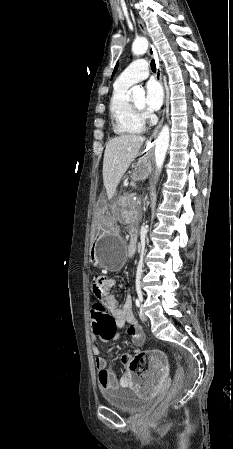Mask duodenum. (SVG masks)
Returning <instances> with one entry per match:
<instances>
[{"mask_svg":"<svg viewBox=\"0 0 233 449\" xmlns=\"http://www.w3.org/2000/svg\"><path fill=\"white\" fill-rule=\"evenodd\" d=\"M135 244H136V233L134 232L132 234V237H131V240H130V244H129V251H130V253L134 252Z\"/></svg>","mask_w":233,"mask_h":449,"instance_id":"1","label":"duodenum"}]
</instances>
